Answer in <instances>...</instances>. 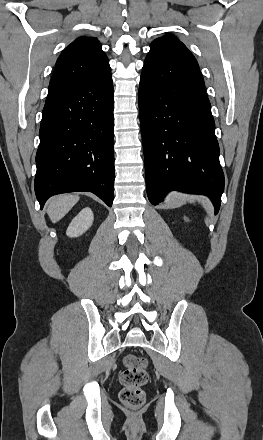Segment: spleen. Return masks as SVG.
<instances>
[{
  "instance_id": "1",
  "label": "spleen",
  "mask_w": 263,
  "mask_h": 440,
  "mask_svg": "<svg viewBox=\"0 0 263 440\" xmlns=\"http://www.w3.org/2000/svg\"><path fill=\"white\" fill-rule=\"evenodd\" d=\"M201 201H202V204H203L204 208L206 209V211L208 213L212 212L213 207H212L211 202L206 197H202Z\"/></svg>"
}]
</instances>
